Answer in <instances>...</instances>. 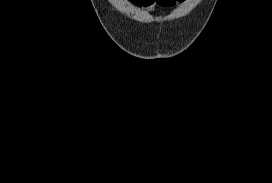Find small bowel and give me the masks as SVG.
Returning a JSON list of instances; mask_svg holds the SVG:
<instances>
[{
    "label": "small bowel",
    "instance_id": "1",
    "mask_svg": "<svg viewBox=\"0 0 272 183\" xmlns=\"http://www.w3.org/2000/svg\"><path fill=\"white\" fill-rule=\"evenodd\" d=\"M132 4L139 7H152L153 5H159L162 7H171L177 0H129Z\"/></svg>",
    "mask_w": 272,
    "mask_h": 183
}]
</instances>
